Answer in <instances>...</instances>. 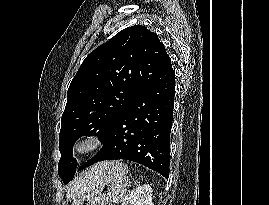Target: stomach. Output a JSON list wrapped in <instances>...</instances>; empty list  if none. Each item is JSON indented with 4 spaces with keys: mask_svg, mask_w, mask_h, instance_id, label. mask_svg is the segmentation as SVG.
I'll list each match as a JSON object with an SVG mask.
<instances>
[{
    "mask_svg": "<svg viewBox=\"0 0 269 205\" xmlns=\"http://www.w3.org/2000/svg\"><path fill=\"white\" fill-rule=\"evenodd\" d=\"M127 165L114 163L98 175L93 187L71 205H112L122 199Z\"/></svg>",
    "mask_w": 269,
    "mask_h": 205,
    "instance_id": "stomach-1",
    "label": "stomach"
}]
</instances>
